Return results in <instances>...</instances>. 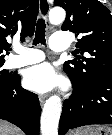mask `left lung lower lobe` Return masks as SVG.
Here are the masks:
<instances>
[{
	"instance_id": "1",
	"label": "left lung lower lobe",
	"mask_w": 112,
	"mask_h": 135,
	"mask_svg": "<svg viewBox=\"0 0 112 135\" xmlns=\"http://www.w3.org/2000/svg\"><path fill=\"white\" fill-rule=\"evenodd\" d=\"M68 75L74 92L63 104L59 135L80 126L112 124V75L100 76L87 84Z\"/></svg>"
}]
</instances>
